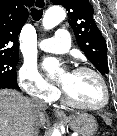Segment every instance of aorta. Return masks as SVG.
<instances>
[{
	"label": "aorta",
	"instance_id": "obj_1",
	"mask_svg": "<svg viewBox=\"0 0 117 136\" xmlns=\"http://www.w3.org/2000/svg\"><path fill=\"white\" fill-rule=\"evenodd\" d=\"M66 17V13L62 7L53 6L49 8L42 20V25L45 29L49 30L59 25ZM52 136H61L59 130H54Z\"/></svg>",
	"mask_w": 117,
	"mask_h": 136
}]
</instances>
